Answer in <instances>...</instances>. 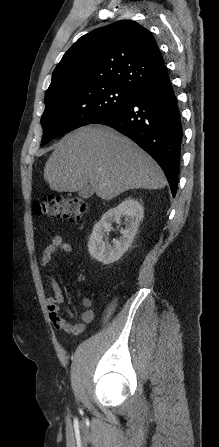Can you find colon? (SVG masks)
Segmentation results:
<instances>
[{
	"label": "colon",
	"mask_w": 219,
	"mask_h": 447,
	"mask_svg": "<svg viewBox=\"0 0 219 447\" xmlns=\"http://www.w3.org/2000/svg\"><path fill=\"white\" fill-rule=\"evenodd\" d=\"M34 212L38 216L63 218L77 223L86 214L87 203L81 198L48 197L35 203Z\"/></svg>",
	"instance_id": "colon-1"
}]
</instances>
